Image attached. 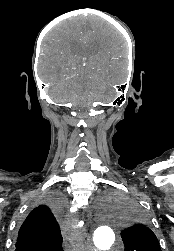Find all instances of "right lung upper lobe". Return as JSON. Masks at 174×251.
I'll return each mask as SVG.
<instances>
[{
    "label": "right lung upper lobe",
    "mask_w": 174,
    "mask_h": 251,
    "mask_svg": "<svg viewBox=\"0 0 174 251\" xmlns=\"http://www.w3.org/2000/svg\"><path fill=\"white\" fill-rule=\"evenodd\" d=\"M21 245L32 251H63L59 211L46 204L35 207L19 228L15 248Z\"/></svg>",
    "instance_id": "obj_1"
}]
</instances>
